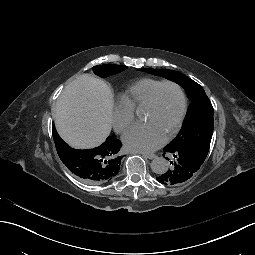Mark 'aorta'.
<instances>
[{
    "label": "aorta",
    "instance_id": "aorta-1",
    "mask_svg": "<svg viewBox=\"0 0 255 255\" xmlns=\"http://www.w3.org/2000/svg\"><path fill=\"white\" fill-rule=\"evenodd\" d=\"M151 169L156 174H164L169 169V162L163 157H156L151 162Z\"/></svg>",
    "mask_w": 255,
    "mask_h": 255
}]
</instances>
